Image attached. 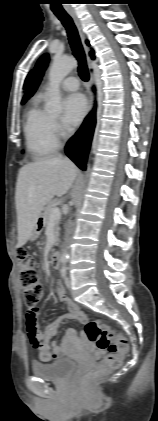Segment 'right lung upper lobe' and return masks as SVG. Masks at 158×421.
<instances>
[{
    "label": "right lung upper lobe",
    "instance_id": "cb5924a9",
    "mask_svg": "<svg viewBox=\"0 0 158 421\" xmlns=\"http://www.w3.org/2000/svg\"><path fill=\"white\" fill-rule=\"evenodd\" d=\"M86 43H87V45H89V42H88V41H86ZM90 55H91V56H92V58L94 59V57H93V55H94L93 51H91V52H90ZM29 78H30V74L28 75V77H27V79H26V81H25V85H24V87L26 86V84H27V82H28Z\"/></svg>",
    "mask_w": 158,
    "mask_h": 421
}]
</instances>
